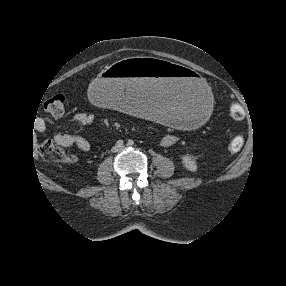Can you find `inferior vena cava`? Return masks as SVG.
<instances>
[{
  "instance_id": "inferior-vena-cava-1",
  "label": "inferior vena cava",
  "mask_w": 286,
  "mask_h": 286,
  "mask_svg": "<svg viewBox=\"0 0 286 286\" xmlns=\"http://www.w3.org/2000/svg\"><path fill=\"white\" fill-rule=\"evenodd\" d=\"M117 150H118V148H116V147H114V148L112 149V151H115V152H116Z\"/></svg>"
}]
</instances>
